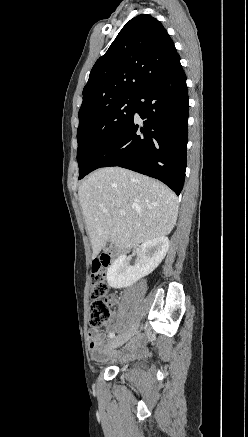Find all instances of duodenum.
Wrapping results in <instances>:
<instances>
[{
  "label": "duodenum",
  "instance_id": "obj_1",
  "mask_svg": "<svg viewBox=\"0 0 248 437\" xmlns=\"http://www.w3.org/2000/svg\"><path fill=\"white\" fill-rule=\"evenodd\" d=\"M113 258V255H106V259L108 260V262H110L111 261V259Z\"/></svg>",
  "mask_w": 248,
  "mask_h": 437
}]
</instances>
